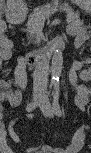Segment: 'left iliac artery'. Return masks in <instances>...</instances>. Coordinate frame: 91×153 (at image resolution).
Masks as SVG:
<instances>
[{"mask_svg": "<svg viewBox=\"0 0 91 153\" xmlns=\"http://www.w3.org/2000/svg\"><path fill=\"white\" fill-rule=\"evenodd\" d=\"M53 108H54L56 115L62 116V111H61V108L59 105V95H58L57 91H56V93L54 95V99H53Z\"/></svg>", "mask_w": 91, "mask_h": 153, "instance_id": "left-iliac-artery-1", "label": "left iliac artery"}]
</instances>
